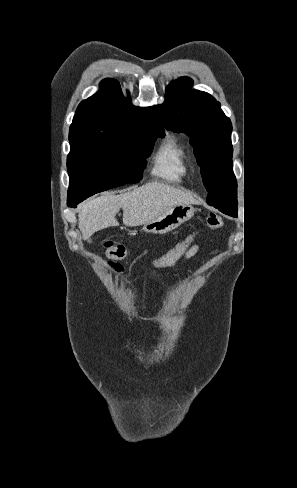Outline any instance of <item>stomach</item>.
I'll return each instance as SVG.
<instances>
[{"instance_id": "1", "label": "stomach", "mask_w": 297, "mask_h": 488, "mask_svg": "<svg viewBox=\"0 0 297 488\" xmlns=\"http://www.w3.org/2000/svg\"><path fill=\"white\" fill-rule=\"evenodd\" d=\"M194 213L195 208L191 204L175 205L155 219L144 224L143 230L153 234H165L190 220L194 216Z\"/></svg>"}]
</instances>
